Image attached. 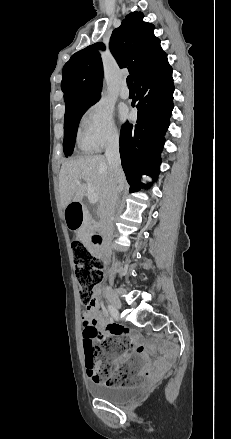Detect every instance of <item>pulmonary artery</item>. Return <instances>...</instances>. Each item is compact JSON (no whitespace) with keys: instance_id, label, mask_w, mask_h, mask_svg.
<instances>
[{"instance_id":"1","label":"pulmonary artery","mask_w":231,"mask_h":439,"mask_svg":"<svg viewBox=\"0 0 231 439\" xmlns=\"http://www.w3.org/2000/svg\"><path fill=\"white\" fill-rule=\"evenodd\" d=\"M129 95H130L129 89L126 86V83L123 82V85H122V87L120 89V96L123 99H127L129 97Z\"/></svg>"}]
</instances>
